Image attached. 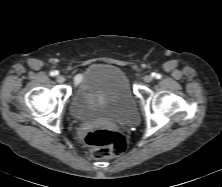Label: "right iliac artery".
Segmentation results:
<instances>
[{"mask_svg":"<svg viewBox=\"0 0 222 187\" xmlns=\"http://www.w3.org/2000/svg\"><path fill=\"white\" fill-rule=\"evenodd\" d=\"M50 75L51 76H56V75H58V71H52V72H50Z\"/></svg>","mask_w":222,"mask_h":187,"instance_id":"right-iliac-artery-1","label":"right iliac artery"}]
</instances>
